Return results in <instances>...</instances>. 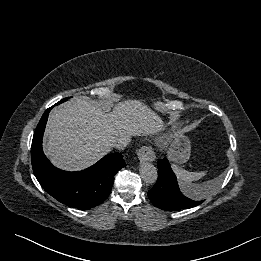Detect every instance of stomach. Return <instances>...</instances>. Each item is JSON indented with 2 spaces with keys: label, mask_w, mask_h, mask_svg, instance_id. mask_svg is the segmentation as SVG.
<instances>
[{
  "label": "stomach",
  "mask_w": 261,
  "mask_h": 261,
  "mask_svg": "<svg viewBox=\"0 0 261 261\" xmlns=\"http://www.w3.org/2000/svg\"><path fill=\"white\" fill-rule=\"evenodd\" d=\"M191 153L190 140L183 132H176L168 144V158L178 164L188 161Z\"/></svg>",
  "instance_id": "stomach-1"
}]
</instances>
